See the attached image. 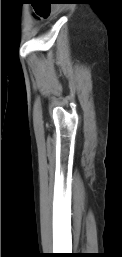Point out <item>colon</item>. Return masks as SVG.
Wrapping results in <instances>:
<instances>
[{
    "instance_id": "obj_1",
    "label": "colon",
    "mask_w": 122,
    "mask_h": 257,
    "mask_svg": "<svg viewBox=\"0 0 122 257\" xmlns=\"http://www.w3.org/2000/svg\"><path fill=\"white\" fill-rule=\"evenodd\" d=\"M35 10L38 16H46L48 12L46 10H53V5H35Z\"/></svg>"
}]
</instances>
